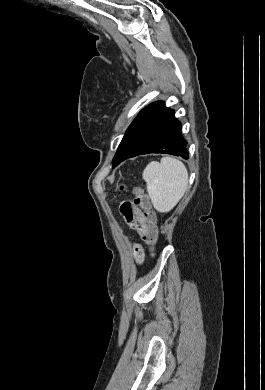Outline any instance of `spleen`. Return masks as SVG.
Segmentation results:
<instances>
[{
	"label": "spleen",
	"mask_w": 265,
	"mask_h": 390,
	"mask_svg": "<svg viewBox=\"0 0 265 390\" xmlns=\"http://www.w3.org/2000/svg\"><path fill=\"white\" fill-rule=\"evenodd\" d=\"M147 192L154 208L166 213L183 197L188 186V171L179 160L166 156L150 162L143 171Z\"/></svg>",
	"instance_id": "1"
}]
</instances>
